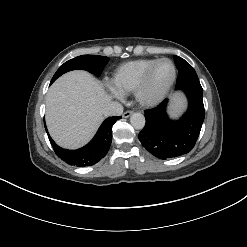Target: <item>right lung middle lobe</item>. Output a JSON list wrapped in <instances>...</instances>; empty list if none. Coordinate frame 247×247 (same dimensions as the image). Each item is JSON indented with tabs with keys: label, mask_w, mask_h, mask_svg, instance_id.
I'll return each mask as SVG.
<instances>
[{
	"label": "right lung middle lobe",
	"mask_w": 247,
	"mask_h": 247,
	"mask_svg": "<svg viewBox=\"0 0 247 247\" xmlns=\"http://www.w3.org/2000/svg\"><path fill=\"white\" fill-rule=\"evenodd\" d=\"M109 61V58L106 56H97V55H82L75 57L71 60L65 62L55 73L51 81H55L62 74L75 70L82 69L89 71L96 76H100L103 71V68Z\"/></svg>",
	"instance_id": "obj_1"
}]
</instances>
